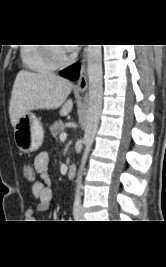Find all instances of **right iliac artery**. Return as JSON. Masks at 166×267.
<instances>
[{"label":"right iliac artery","instance_id":"82829eb1","mask_svg":"<svg viewBox=\"0 0 166 267\" xmlns=\"http://www.w3.org/2000/svg\"><path fill=\"white\" fill-rule=\"evenodd\" d=\"M80 204L79 203H75L74 206H73V216H74V219L78 220L79 219V216H80Z\"/></svg>","mask_w":166,"mask_h":267}]
</instances>
